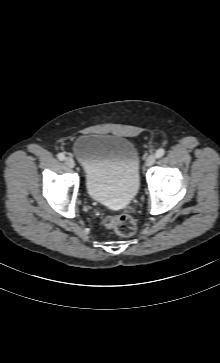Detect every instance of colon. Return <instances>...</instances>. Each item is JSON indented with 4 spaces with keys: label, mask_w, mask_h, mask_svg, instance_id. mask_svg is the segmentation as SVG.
<instances>
[{
    "label": "colon",
    "mask_w": 220,
    "mask_h": 363,
    "mask_svg": "<svg viewBox=\"0 0 220 363\" xmlns=\"http://www.w3.org/2000/svg\"><path fill=\"white\" fill-rule=\"evenodd\" d=\"M103 224L106 228L114 230L123 237L131 236L136 231L135 220L126 214H111L104 218Z\"/></svg>",
    "instance_id": "1"
}]
</instances>
